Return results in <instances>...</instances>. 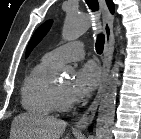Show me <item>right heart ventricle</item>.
<instances>
[{
  "label": "right heart ventricle",
  "instance_id": "e07e8e85",
  "mask_svg": "<svg viewBox=\"0 0 141 139\" xmlns=\"http://www.w3.org/2000/svg\"><path fill=\"white\" fill-rule=\"evenodd\" d=\"M55 67L43 57L26 75L21 88V103L27 112L46 116L57 110L54 83L50 78Z\"/></svg>",
  "mask_w": 141,
  "mask_h": 139
}]
</instances>
